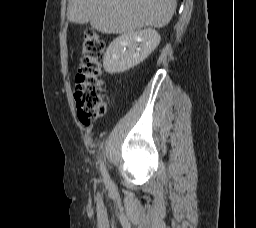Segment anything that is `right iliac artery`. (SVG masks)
<instances>
[{"label":"right iliac artery","mask_w":256,"mask_h":228,"mask_svg":"<svg viewBox=\"0 0 256 228\" xmlns=\"http://www.w3.org/2000/svg\"><path fill=\"white\" fill-rule=\"evenodd\" d=\"M100 168H101L102 175H103V177H104V181L107 182V183H109V176H108V173H107V171H106V168H105V166H104V164H103L102 162H101V164H100Z\"/></svg>","instance_id":"82829eb1"}]
</instances>
